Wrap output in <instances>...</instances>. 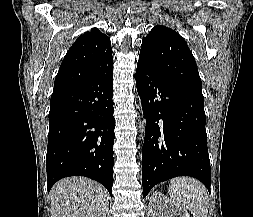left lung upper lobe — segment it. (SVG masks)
<instances>
[{"label":"left lung upper lobe","instance_id":"5c2ea615","mask_svg":"<svg viewBox=\"0 0 253 217\" xmlns=\"http://www.w3.org/2000/svg\"><path fill=\"white\" fill-rule=\"evenodd\" d=\"M139 61L161 77L202 93L192 52L174 30L162 25L155 26L142 42Z\"/></svg>","mask_w":253,"mask_h":217}]
</instances>
